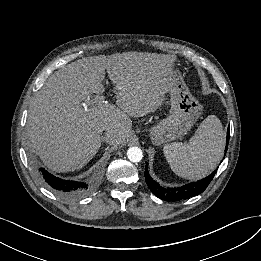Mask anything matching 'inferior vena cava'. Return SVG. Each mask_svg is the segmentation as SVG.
Instances as JSON below:
<instances>
[{"mask_svg":"<svg viewBox=\"0 0 261 261\" xmlns=\"http://www.w3.org/2000/svg\"><path fill=\"white\" fill-rule=\"evenodd\" d=\"M110 136H111V133L109 131H107L106 135H105V139L108 140Z\"/></svg>","mask_w":261,"mask_h":261,"instance_id":"inferior-vena-cava-1","label":"inferior vena cava"}]
</instances>
